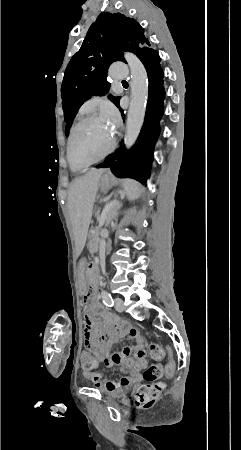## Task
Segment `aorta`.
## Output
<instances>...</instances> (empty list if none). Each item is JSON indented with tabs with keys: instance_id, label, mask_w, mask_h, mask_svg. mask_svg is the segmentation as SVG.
Wrapping results in <instances>:
<instances>
[{
	"instance_id": "1",
	"label": "aorta",
	"mask_w": 241,
	"mask_h": 450,
	"mask_svg": "<svg viewBox=\"0 0 241 450\" xmlns=\"http://www.w3.org/2000/svg\"><path fill=\"white\" fill-rule=\"evenodd\" d=\"M125 59L131 72V100L126 120L124 143L130 149L136 142L144 122L148 99V76L142 62L132 53H126Z\"/></svg>"
}]
</instances>
